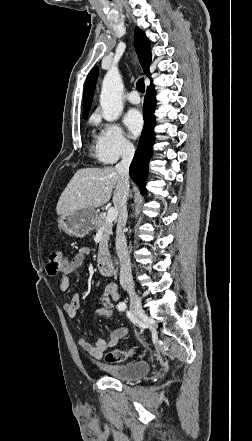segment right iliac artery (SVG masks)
<instances>
[{
  "mask_svg": "<svg viewBox=\"0 0 252 441\" xmlns=\"http://www.w3.org/2000/svg\"><path fill=\"white\" fill-rule=\"evenodd\" d=\"M117 307L119 311H124L126 309V304L124 302H120Z\"/></svg>",
  "mask_w": 252,
  "mask_h": 441,
  "instance_id": "1",
  "label": "right iliac artery"
}]
</instances>
